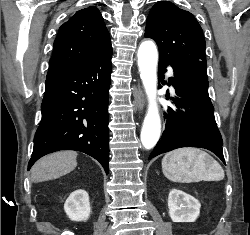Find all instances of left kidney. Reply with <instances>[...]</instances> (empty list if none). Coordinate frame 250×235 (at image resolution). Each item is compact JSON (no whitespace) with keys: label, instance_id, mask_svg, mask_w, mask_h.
Here are the masks:
<instances>
[{"label":"left kidney","instance_id":"obj_1","mask_svg":"<svg viewBox=\"0 0 250 235\" xmlns=\"http://www.w3.org/2000/svg\"><path fill=\"white\" fill-rule=\"evenodd\" d=\"M200 203L193 196L172 189L168 196L169 215L173 222H194L200 214Z\"/></svg>","mask_w":250,"mask_h":235}]
</instances>
